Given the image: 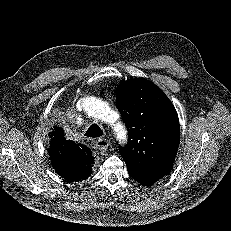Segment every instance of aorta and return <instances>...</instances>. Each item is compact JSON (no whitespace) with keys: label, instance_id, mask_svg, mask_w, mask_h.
<instances>
[{"label":"aorta","instance_id":"762f6f07","mask_svg":"<svg viewBox=\"0 0 231 231\" xmlns=\"http://www.w3.org/2000/svg\"><path fill=\"white\" fill-rule=\"evenodd\" d=\"M79 106L87 115L111 124L120 142L126 140L127 132L125 127L113 120L114 112L110 110L106 102L94 96H85L79 101Z\"/></svg>","mask_w":231,"mask_h":231}]
</instances>
